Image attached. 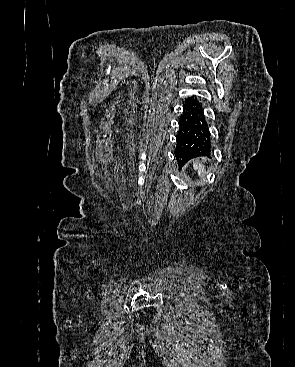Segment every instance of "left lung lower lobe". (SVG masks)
Listing matches in <instances>:
<instances>
[{
    "label": "left lung lower lobe",
    "instance_id": "left-lung-lower-lobe-1",
    "mask_svg": "<svg viewBox=\"0 0 295 367\" xmlns=\"http://www.w3.org/2000/svg\"><path fill=\"white\" fill-rule=\"evenodd\" d=\"M175 157L184 165L198 156H209L211 151L210 133L201 103L190 98L183 104V114L179 121Z\"/></svg>",
    "mask_w": 295,
    "mask_h": 367
}]
</instances>
